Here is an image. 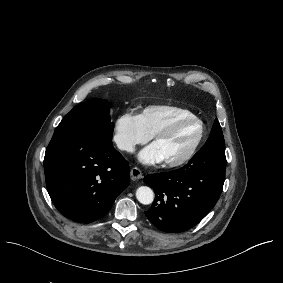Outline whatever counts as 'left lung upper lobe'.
<instances>
[{
  "mask_svg": "<svg viewBox=\"0 0 283 283\" xmlns=\"http://www.w3.org/2000/svg\"><path fill=\"white\" fill-rule=\"evenodd\" d=\"M218 145L219 147L225 148L224 137L222 129L220 127L219 121L215 119L213 128L211 130L210 136L206 141L205 145Z\"/></svg>",
  "mask_w": 283,
  "mask_h": 283,
  "instance_id": "5c2ea615",
  "label": "left lung upper lobe"
}]
</instances>
